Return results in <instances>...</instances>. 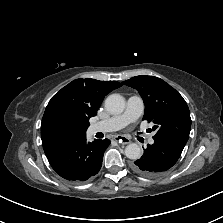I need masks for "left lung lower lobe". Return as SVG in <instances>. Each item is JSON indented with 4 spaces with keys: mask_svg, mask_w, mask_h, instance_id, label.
Here are the masks:
<instances>
[{
    "mask_svg": "<svg viewBox=\"0 0 223 223\" xmlns=\"http://www.w3.org/2000/svg\"><path fill=\"white\" fill-rule=\"evenodd\" d=\"M184 146L172 139H154L152 145H147L144 155L132 164V169L144 177L157 176L177 162Z\"/></svg>",
    "mask_w": 223,
    "mask_h": 223,
    "instance_id": "obj_1",
    "label": "left lung lower lobe"
}]
</instances>
